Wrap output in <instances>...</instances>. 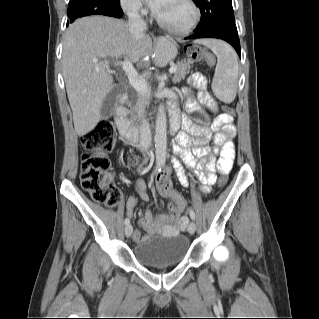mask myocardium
Wrapping results in <instances>:
<instances>
[{
    "mask_svg": "<svg viewBox=\"0 0 319 319\" xmlns=\"http://www.w3.org/2000/svg\"><path fill=\"white\" fill-rule=\"evenodd\" d=\"M183 1L188 5V7L192 11V16L187 23H185L184 25H180V26L172 25V24H169V23L165 22L164 20H162L158 15H155L156 23L161 28H163V29H165L173 34L183 35V34L189 33L198 23V20L200 18V9L193 0H183Z\"/></svg>",
    "mask_w": 319,
    "mask_h": 319,
    "instance_id": "f54148a6",
    "label": "myocardium"
}]
</instances>
